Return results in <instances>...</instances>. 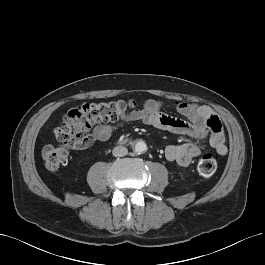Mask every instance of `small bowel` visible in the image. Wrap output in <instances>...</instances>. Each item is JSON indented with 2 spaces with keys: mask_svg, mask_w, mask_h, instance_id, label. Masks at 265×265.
<instances>
[{
  "mask_svg": "<svg viewBox=\"0 0 265 265\" xmlns=\"http://www.w3.org/2000/svg\"><path fill=\"white\" fill-rule=\"evenodd\" d=\"M163 107L162 101L148 99L144 101L140 110L131 112L120 124L105 123L99 125L93 130L89 140L84 145L71 144L69 148L81 150L90 147L95 142H106L117 127L131 122H141L157 129L187 135L198 140L209 136L211 145L218 154L225 155L227 153L222 133H214L209 126L210 118L215 116L210 107L174 101V109L187 121L164 114L162 112ZM199 151L198 145L194 143L171 144L165 149V157L168 161L180 166H188L199 154Z\"/></svg>",
  "mask_w": 265,
  "mask_h": 265,
  "instance_id": "small-bowel-1",
  "label": "small bowel"
}]
</instances>
